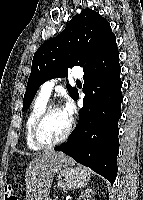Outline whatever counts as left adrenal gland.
<instances>
[{"label":"left adrenal gland","mask_w":143,"mask_h":200,"mask_svg":"<svg viewBox=\"0 0 143 200\" xmlns=\"http://www.w3.org/2000/svg\"><path fill=\"white\" fill-rule=\"evenodd\" d=\"M92 194L93 190L90 188H86L85 190L81 191L76 200H81V199L86 200V198L88 199L89 197H91Z\"/></svg>","instance_id":"obj_1"}]
</instances>
